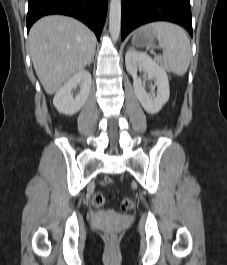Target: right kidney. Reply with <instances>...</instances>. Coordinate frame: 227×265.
Returning a JSON list of instances; mask_svg holds the SVG:
<instances>
[{"label": "right kidney", "mask_w": 227, "mask_h": 265, "mask_svg": "<svg viewBox=\"0 0 227 265\" xmlns=\"http://www.w3.org/2000/svg\"><path fill=\"white\" fill-rule=\"evenodd\" d=\"M81 86V90L73 97L72 90ZM91 87V74L86 70L75 73L55 94L53 104L58 112L65 115L77 113L87 101Z\"/></svg>", "instance_id": "1"}]
</instances>
